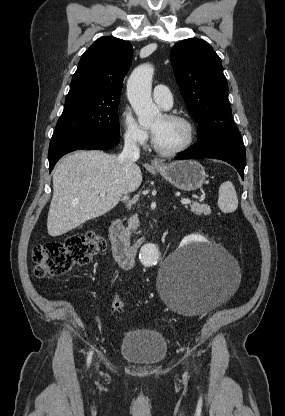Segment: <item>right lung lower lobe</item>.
Instances as JSON below:
<instances>
[{"label": "right lung lower lobe", "mask_w": 285, "mask_h": 416, "mask_svg": "<svg viewBox=\"0 0 285 416\" xmlns=\"http://www.w3.org/2000/svg\"><path fill=\"white\" fill-rule=\"evenodd\" d=\"M120 140L119 134L98 132H55L49 145V172L65 154L80 149L106 150Z\"/></svg>", "instance_id": "98d812e1"}]
</instances>
